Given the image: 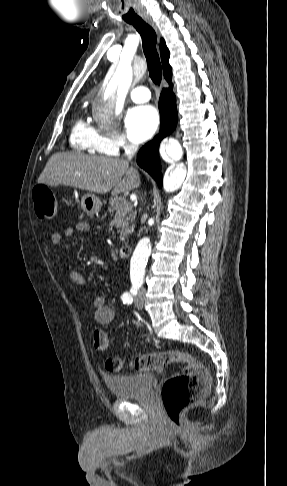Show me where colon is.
I'll return each mask as SVG.
<instances>
[{
    "label": "colon",
    "instance_id": "obj_1",
    "mask_svg": "<svg viewBox=\"0 0 287 486\" xmlns=\"http://www.w3.org/2000/svg\"><path fill=\"white\" fill-rule=\"evenodd\" d=\"M32 196L35 212L40 219L50 220L55 217L58 209L57 200L47 185L35 186ZM93 344L96 350L107 351V334L96 330L93 334ZM171 363H181L184 367L181 373L164 381L161 396L167 419L177 425L181 411L207 392L210 378L206 368L190 354L178 350L141 354L130 362V367L137 371H149ZM125 367L126 362L120 357H108L105 361V368L111 372H120Z\"/></svg>",
    "mask_w": 287,
    "mask_h": 486
}]
</instances>
